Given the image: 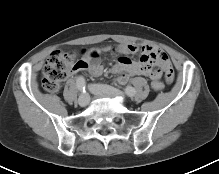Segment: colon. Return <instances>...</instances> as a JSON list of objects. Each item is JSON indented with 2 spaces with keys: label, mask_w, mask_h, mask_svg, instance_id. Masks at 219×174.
<instances>
[{
  "label": "colon",
  "mask_w": 219,
  "mask_h": 174,
  "mask_svg": "<svg viewBox=\"0 0 219 174\" xmlns=\"http://www.w3.org/2000/svg\"><path fill=\"white\" fill-rule=\"evenodd\" d=\"M110 51L117 52V48L110 47ZM103 50L83 51L82 54L89 57H96ZM81 61H77L76 52L55 51L48 57L42 72V85L47 92H56L67 76L80 66ZM152 89L155 92H161L164 89L163 82L155 80L152 83Z\"/></svg>",
  "instance_id": "colon-1"
}]
</instances>
